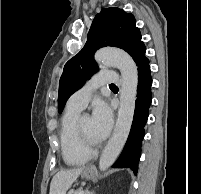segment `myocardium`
Segmentation results:
<instances>
[{
	"mask_svg": "<svg viewBox=\"0 0 201 194\" xmlns=\"http://www.w3.org/2000/svg\"><path fill=\"white\" fill-rule=\"evenodd\" d=\"M76 130L82 148L87 152H89L90 154L94 152L99 144L98 142H93L88 139V137L85 135V133L81 128L80 120L77 121Z\"/></svg>",
	"mask_w": 201,
	"mask_h": 194,
	"instance_id": "1",
	"label": "myocardium"
}]
</instances>
